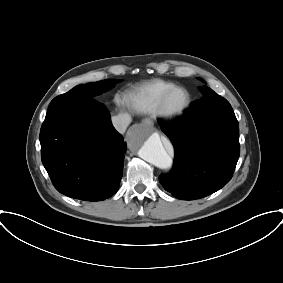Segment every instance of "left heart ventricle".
I'll return each instance as SVG.
<instances>
[{"mask_svg":"<svg viewBox=\"0 0 283 283\" xmlns=\"http://www.w3.org/2000/svg\"><path fill=\"white\" fill-rule=\"evenodd\" d=\"M184 100L183 93H176L170 99V105L172 106H179Z\"/></svg>","mask_w":283,"mask_h":283,"instance_id":"obj_1","label":"left heart ventricle"}]
</instances>
